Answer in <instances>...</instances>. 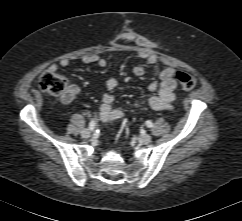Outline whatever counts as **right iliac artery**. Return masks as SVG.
<instances>
[{
	"instance_id": "1",
	"label": "right iliac artery",
	"mask_w": 242,
	"mask_h": 221,
	"mask_svg": "<svg viewBox=\"0 0 242 221\" xmlns=\"http://www.w3.org/2000/svg\"><path fill=\"white\" fill-rule=\"evenodd\" d=\"M95 126H96L95 120H91L90 123H89V129L93 130L95 128Z\"/></svg>"
}]
</instances>
